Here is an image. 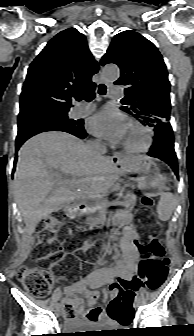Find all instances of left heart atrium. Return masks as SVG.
<instances>
[{
	"instance_id": "1",
	"label": "left heart atrium",
	"mask_w": 194,
	"mask_h": 336,
	"mask_svg": "<svg viewBox=\"0 0 194 336\" xmlns=\"http://www.w3.org/2000/svg\"><path fill=\"white\" fill-rule=\"evenodd\" d=\"M92 134L112 143L122 142L127 122L125 116L112 108H104L89 120Z\"/></svg>"
}]
</instances>
